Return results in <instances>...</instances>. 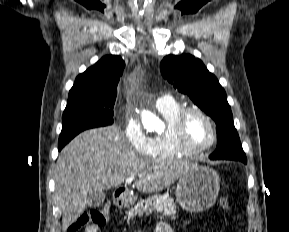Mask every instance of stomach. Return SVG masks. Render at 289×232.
<instances>
[{
  "mask_svg": "<svg viewBox=\"0 0 289 232\" xmlns=\"http://www.w3.org/2000/svg\"><path fill=\"white\" fill-rule=\"evenodd\" d=\"M220 190L218 173L205 166L192 164L176 186V199L190 212H202L214 205Z\"/></svg>",
  "mask_w": 289,
  "mask_h": 232,
  "instance_id": "stomach-1",
  "label": "stomach"
}]
</instances>
